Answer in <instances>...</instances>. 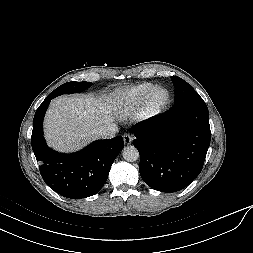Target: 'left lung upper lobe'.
Wrapping results in <instances>:
<instances>
[{"instance_id": "left-lung-upper-lobe-1", "label": "left lung upper lobe", "mask_w": 253, "mask_h": 253, "mask_svg": "<svg viewBox=\"0 0 253 253\" xmlns=\"http://www.w3.org/2000/svg\"><path fill=\"white\" fill-rule=\"evenodd\" d=\"M175 87V105L184 102L193 97L200 96L191 85L185 82L183 79L177 76L171 77Z\"/></svg>"}]
</instances>
